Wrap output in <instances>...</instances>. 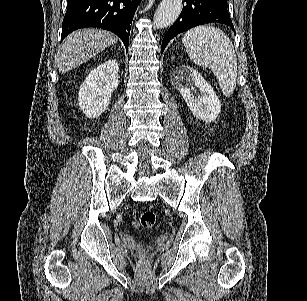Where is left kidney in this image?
Listing matches in <instances>:
<instances>
[{"label": "left kidney", "instance_id": "obj_1", "mask_svg": "<svg viewBox=\"0 0 307 301\" xmlns=\"http://www.w3.org/2000/svg\"><path fill=\"white\" fill-rule=\"evenodd\" d=\"M173 82L180 90L192 114L200 120L211 122L217 118L221 104L211 84L192 66H177L172 74ZM194 84V86H192ZM199 88V90H195Z\"/></svg>", "mask_w": 307, "mask_h": 301}]
</instances>
